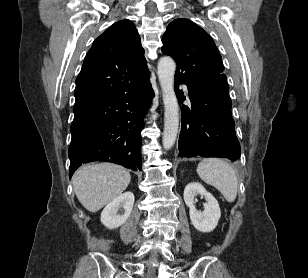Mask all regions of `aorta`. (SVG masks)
I'll return each mask as SVG.
<instances>
[{
    "label": "aorta",
    "mask_w": 308,
    "mask_h": 278,
    "mask_svg": "<svg viewBox=\"0 0 308 278\" xmlns=\"http://www.w3.org/2000/svg\"><path fill=\"white\" fill-rule=\"evenodd\" d=\"M175 70L176 64L171 57H162L159 60L157 73L165 109L162 143L166 150L174 145L179 127V106L174 91Z\"/></svg>",
    "instance_id": "aorta-1"
}]
</instances>
